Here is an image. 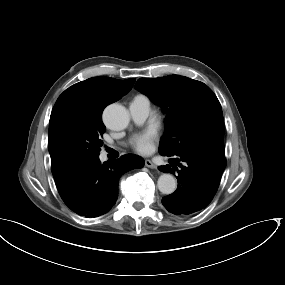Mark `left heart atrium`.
Instances as JSON below:
<instances>
[{
    "label": "left heart atrium",
    "mask_w": 285,
    "mask_h": 285,
    "mask_svg": "<svg viewBox=\"0 0 285 285\" xmlns=\"http://www.w3.org/2000/svg\"><path fill=\"white\" fill-rule=\"evenodd\" d=\"M157 139V133L153 129L135 134L132 137L131 144L133 149L140 154H147L152 151L154 142Z\"/></svg>",
    "instance_id": "39dd6f15"
}]
</instances>
